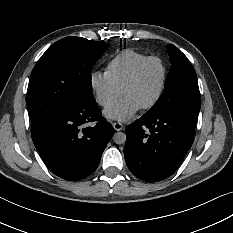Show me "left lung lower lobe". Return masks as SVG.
<instances>
[{
    "instance_id": "0a47b994",
    "label": "left lung lower lobe",
    "mask_w": 233,
    "mask_h": 233,
    "mask_svg": "<svg viewBox=\"0 0 233 233\" xmlns=\"http://www.w3.org/2000/svg\"><path fill=\"white\" fill-rule=\"evenodd\" d=\"M196 119L189 114L143 115L127 126L124 155L129 170L150 183L168 178L191 148Z\"/></svg>"
}]
</instances>
